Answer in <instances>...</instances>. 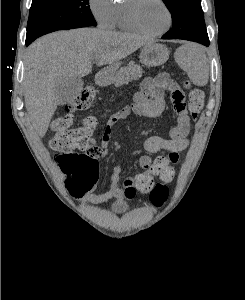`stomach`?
I'll use <instances>...</instances> for the list:
<instances>
[{
  "instance_id": "0dacf381",
  "label": "stomach",
  "mask_w": 245,
  "mask_h": 300,
  "mask_svg": "<svg viewBox=\"0 0 245 300\" xmlns=\"http://www.w3.org/2000/svg\"><path fill=\"white\" fill-rule=\"evenodd\" d=\"M169 58V50L162 44H148L143 47L139 55L140 62L148 67L163 65ZM120 63L105 70L106 79L113 81L118 73Z\"/></svg>"
}]
</instances>
